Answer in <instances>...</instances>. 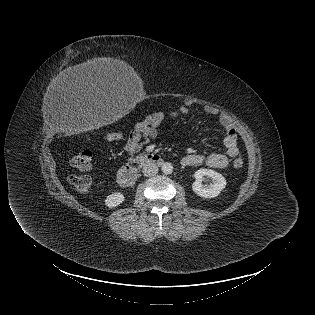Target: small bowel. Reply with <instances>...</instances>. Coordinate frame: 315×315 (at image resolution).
I'll list each match as a JSON object with an SVG mask.
<instances>
[{
  "label": "small bowel",
  "instance_id": "obj_1",
  "mask_svg": "<svg viewBox=\"0 0 315 315\" xmlns=\"http://www.w3.org/2000/svg\"><path fill=\"white\" fill-rule=\"evenodd\" d=\"M191 105L192 102L187 100L181 104L178 109L172 112H154L146 116L143 120L136 123L130 132L124 145V151L128 155H133L139 152L145 145L157 137L159 127L167 118H176L180 115L187 114ZM204 111L208 115L216 116L221 126L225 129L226 136L224 138V145L226 148V154H189L182 158V164L185 166L206 164L212 168H226L229 164V158H234L239 154L237 145V131L230 117L226 113L221 112L218 108L214 106H206Z\"/></svg>",
  "mask_w": 315,
  "mask_h": 315
}]
</instances>
